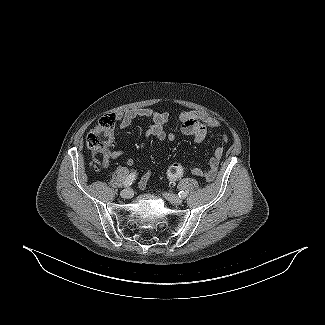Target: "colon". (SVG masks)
Masks as SVG:
<instances>
[{"mask_svg": "<svg viewBox=\"0 0 325 325\" xmlns=\"http://www.w3.org/2000/svg\"><path fill=\"white\" fill-rule=\"evenodd\" d=\"M116 118L113 114H106L89 132L87 136L88 147L96 152L105 150L113 141ZM186 169L181 164H172L166 171L170 182H176L185 173Z\"/></svg>", "mask_w": 325, "mask_h": 325, "instance_id": "5ec220e1", "label": "colon"}]
</instances>
